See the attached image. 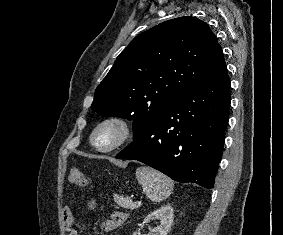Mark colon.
<instances>
[{
	"label": "colon",
	"instance_id": "obj_1",
	"mask_svg": "<svg viewBox=\"0 0 283 235\" xmlns=\"http://www.w3.org/2000/svg\"><path fill=\"white\" fill-rule=\"evenodd\" d=\"M69 181L80 187H87L89 185V179L78 168H72L69 173Z\"/></svg>",
	"mask_w": 283,
	"mask_h": 235
}]
</instances>
